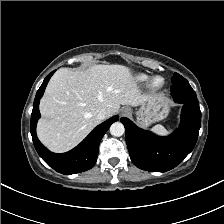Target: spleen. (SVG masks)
<instances>
[{
  "instance_id": "3e777b00",
  "label": "spleen",
  "mask_w": 224,
  "mask_h": 224,
  "mask_svg": "<svg viewBox=\"0 0 224 224\" xmlns=\"http://www.w3.org/2000/svg\"><path fill=\"white\" fill-rule=\"evenodd\" d=\"M151 131L158 135H167L170 133V130H167L164 126L158 124L151 128Z\"/></svg>"
}]
</instances>
